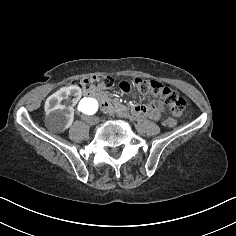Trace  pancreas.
I'll list each match as a JSON object with an SVG mask.
<instances>
[{
    "instance_id": "1",
    "label": "pancreas",
    "mask_w": 236,
    "mask_h": 236,
    "mask_svg": "<svg viewBox=\"0 0 236 236\" xmlns=\"http://www.w3.org/2000/svg\"><path fill=\"white\" fill-rule=\"evenodd\" d=\"M102 94H103V97H104L105 99H107V98L110 97V94H109L108 91H104Z\"/></svg>"
}]
</instances>
